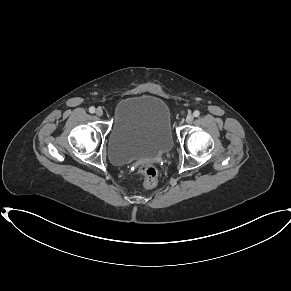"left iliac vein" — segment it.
<instances>
[{
  "label": "left iliac vein",
  "instance_id": "left-iliac-vein-1",
  "mask_svg": "<svg viewBox=\"0 0 291 291\" xmlns=\"http://www.w3.org/2000/svg\"><path fill=\"white\" fill-rule=\"evenodd\" d=\"M194 117L192 114H188L187 117H186V122L187 123H191L193 121Z\"/></svg>",
  "mask_w": 291,
  "mask_h": 291
}]
</instances>
